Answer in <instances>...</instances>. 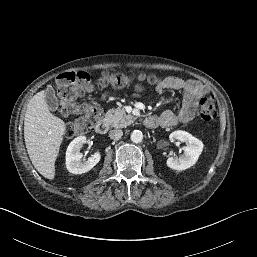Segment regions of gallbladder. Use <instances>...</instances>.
Masks as SVG:
<instances>
[{"label": "gallbladder", "mask_w": 257, "mask_h": 257, "mask_svg": "<svg viewBox=\"0 0 257 257\" xmlns=\"http://www.w3.org/2000/svg\"><path fill=\"white\" fill-rule=\"evenodd\" d=\"M45 101L50 111L55 112L59 108V102L52 87H48L45 93Z\"/></svg>", "instance_id": "gallbladder-1"}]
</instances>
